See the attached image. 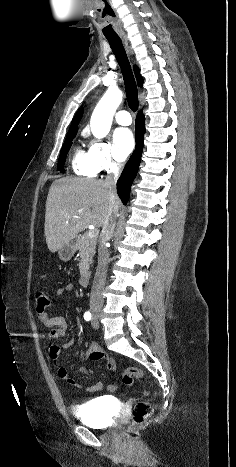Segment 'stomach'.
I'll return each mask as SVG.
<instances>
[{
    "label": "stomach",
    "mask_w": 236,
    "mask_h": 467,
    "mask_svg": "<svg viewBox=\"0 0 236 467\" xmlns=\"http://www.w3.org/2000/svg\"><path fill=\"white\" fill-rule=\"evenodd\" d=\"M76 251V247L73 242H67L63 244L59 250L58 255L62 261H69Z\"/></svg>",
    "instance_id": "1"
}]
</instances>
